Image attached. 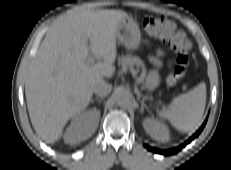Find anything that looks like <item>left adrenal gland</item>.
I'll return each mask as SVG.
<instances>
[{
  "instance_id": "left-adrenal-gland-1",
  "label": "left adrenal gland",
  "mask_w": 231,
  "mask_h": 170,
  "mask_svg": "<svg viewBox=\"0 0 231 170\" xmlns=\"http://www.w3.org/2000/svg\"><path fill=\"white\" fill-rule=\"evenodd\" d=\"M145 108L148 110L147 105L144 103V101H142L141 102V113H143V111H144Z\"/></svg>"
}]
</instances>
